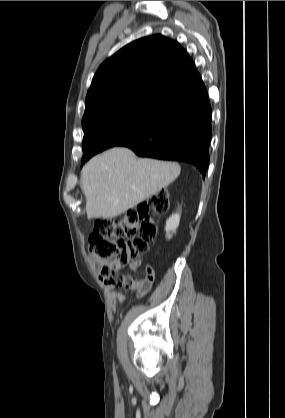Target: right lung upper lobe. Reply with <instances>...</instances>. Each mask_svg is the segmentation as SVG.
I'll use <instances>...</instances> for the list:
<instances>
[{
	"label": "right lung upper lobe",
	"mask_w": 285,
	"mask_h": 418,
	"mask_svg": "<svg viewBox=\"0 0 285 418\" xmlns=\"http://www.w3.org/2000/svg\"><path fill=\"white\" fill-rule=\"evenodd\" d=\"M204 87L187 51L174 40L152 35L131 42L101 64L88 90L83 117L134 100L170 107Z\"/></svg>",
	"instance_id": "1"
}]
</instances>
